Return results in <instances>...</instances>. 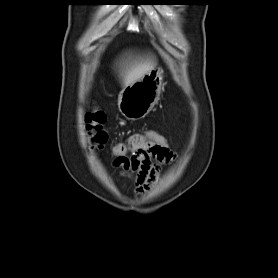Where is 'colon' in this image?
<instances>
[{"mask_svg":"<svg viewBox=\"0 0 278 278\" xmlns=\"http://www.w3.org/2000/svg\"><path fill=\"white\" fill-rule=\"evenodd\" d=\"M86 122L88 130L93 135L96 146L101 148L107 141V133L103 129L104 123L106 122L105 113L99 109H93L86 114ZM146 136L156 145L171 151L169 142L163 135L155 131H147ZM111 152L114 158H121L127 156L129 150L126 144L118 143L112 148Z\"/></svg>","mask_w":278,"mask_h":278,"instance_id":"1","label":"colon"}]
</instances>
